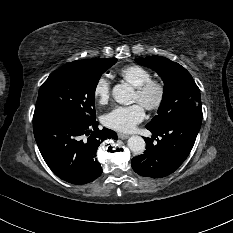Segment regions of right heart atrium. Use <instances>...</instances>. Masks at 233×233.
<instances>
[{
	"instance_id": "obj_1",
	"label": "right heart atrium",
	"mask_w": 233,
	"mask_h": 233,
	"mask_svg": "<svg viewBox=\"0 0 233 233\" xmlns=\"http://www.w3.org/2000/svg\"><path fill=\"white\" fill-rule=\"evenodd\" d=\"M111 94V82L106 76L97 79L93 88V95L99 104H106Z\"/></svg>"
}]
</instances>
